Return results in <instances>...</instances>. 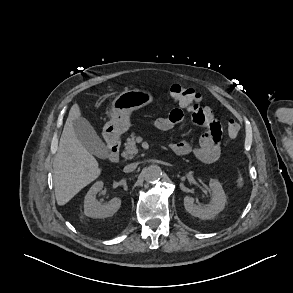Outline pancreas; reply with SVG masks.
<instances>
[{
	"label": "pancreas",
	"mask_w": 293,
	"mask_h": 293,
	"mask_svg": "<svg viewBox=\"0 0 293 293\" xmlns=\"http://www.w3.org/2000/svg\"><path fill=\"white\" fill-rule=\"evenodd\" d=\"M137 153L138 149L136 147V136L135 134H131V137L127 139L122 156L125 159H132Z\"/></svg>",
	"instance_id": "obj_1"
}]
</instances>
